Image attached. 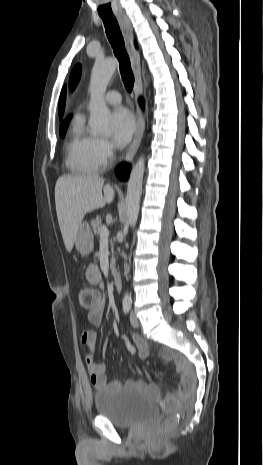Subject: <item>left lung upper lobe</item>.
<instances>
[{"label":"left lung upper lobe","mask_w":263,"mask_h":465,"mask_svg":"<svg viewBox=\"0 0 263 465\" xmlns=\"http://www.w3.org/2000/svg\"><path fill=\"white\" fill-rule=\"evenodd\" d=\"M81 75V66L78 64L76 65L70 75V86L72 89H74L80 79Z\"/></svg>","instance_id":"5c2ea615"}]
</instances>
